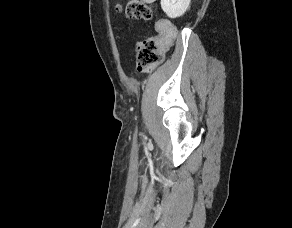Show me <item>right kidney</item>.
I'll return each instance as SVG.
<instances>
[{
	"instance_id": "obj_1",
	"label": "right kidney",
	"mask_w": 292,
	"mask_h": 228,
	"mask_svg": "<svg viewBox=\"0 0 292 228\" xmlns=\"http://www.w3.org/2000/svg\"><path fill=\"white\" fill-rule=\"evenodd\" d=\"M191 0H161V8L170 18L182 16L188 9Z\"/></svg>"
}]
</instances>
